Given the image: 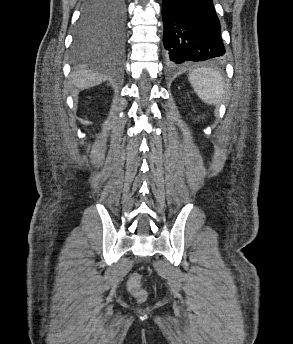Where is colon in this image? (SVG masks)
Segmentation results:
<instances>
[{
  "mask_svg": "<svg viewBox=\"0 0 293 344\" xmlns=\"http://www.w3.org/2000/svg\"><path fill=\"white\" fill-rule=\"evenodd\" d=\"M128 290L140 302L145 301L147 298V291L141 286V277L138 274L130 277Z\"/></svg>",
  "mask_w": 293,
  "mask_h": 344,
  "instance_id": "1",
  "label": "colon"
}]
</instances>
